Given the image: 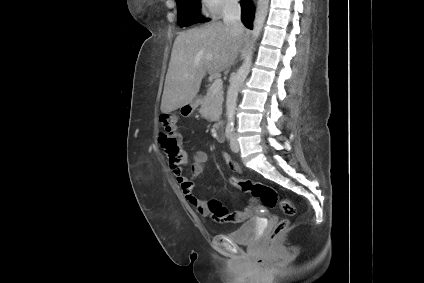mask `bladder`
I'll return each instance as SVG.
<instances>
[{
  "mask_svg": "<svg viewBox=\"0 0 424 283\" xmlns=\"http://www.w3.org/2000/svg\"><path fill=\"white\" fill-rule=\"evenodd\" d=\"M260 234V226L256 219H250L234 231L228 233L226 237L237 244L248 245L253 243Z\"/></svg>",
  "mask_w": 424,
  "mask_h": 283,
  "instance_id": "1",
  "label": "bladder"
}]
</instances>
